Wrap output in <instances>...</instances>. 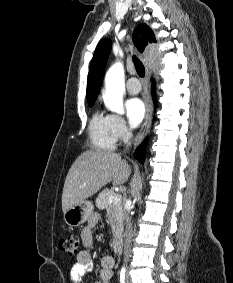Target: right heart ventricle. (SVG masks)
Wrapping results in <instances>:
<instances>
[{"instance_id": "e07e8e85", "label": "right heart ventricle", "mask_w": 233, "mask_h": 283, "mask_svg": "<svg viewBox=\"0 0 233 283\" xmlns=\"http://www.w3.org/2000/svg\"><path fill=\"white\" fill-rule=\"evenodd\" d=\"M88 135L91 145L98 150L112 151L116 145L111 115L96 111L89 122Z\"/></svg>"}]
</instances>
